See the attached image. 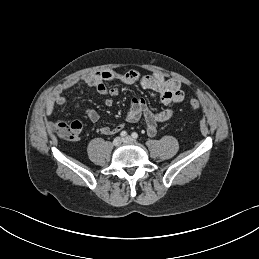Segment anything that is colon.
I'll list each match as a JSON object with an SVG mask.
<instances>
[{
  "label": "colon",
  "instance_id": "1",
  "mask_svg": "<svg viewBox=\"0 0 259 259\" xmlns=\"http://www.w3.org/2000/svg\"><path fill=\"white\" fill-rule=\"evenodd\" d=\"M191 109L196 110L200 107V103L197 99H191L189 102ZM82 129V125L78 121L73 122H60L51 123L49 130L56 133L60 138L65 140H74L78 137Z\"/></svg>",
  "mask_w": 259,
  "mask_h": 259
}]
</instances>
